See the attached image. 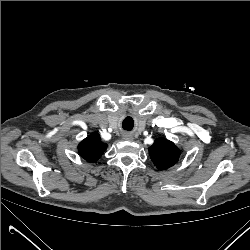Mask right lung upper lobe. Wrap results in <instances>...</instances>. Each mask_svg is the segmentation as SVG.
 I'll list each match as a JSON object with an SVG mask.
<instances>
[{"label": "right lung upper lobe", "mask_w": 250, "mask_h": 250, "mask_svg": "<svg viewBox=\"0 0 250 250\" xmlns=\"http://www.w3.org/2000/svg\"><path fill=\"white\" fill-rule=\"evenodd\" d=\"M107 144L101 142L98 133H91L78 145V152L82 158L89 162H96L103 154Z\"/></svg>", "instance_id": "1"}]
</instances>
